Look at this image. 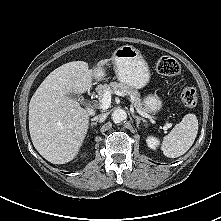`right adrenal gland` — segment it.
Wrapping results in <instances>:
<instances>
[{
	"instance_id": "2a0ac1e0",
	"label": "right adrenal gland",
	"mask_w": 221,
	"mask_h": 221,
	"mask_svg": "<svg viewBox=\"0 0 221 221\" xmlns=\"http://www.w3.org/2000/svg\"><path fill=\"white\" fill-rule=\"evenodd\" d=\"M94 125H97V122L91 123V126L93 127Z\"/></svg>"
}]
</instances>
